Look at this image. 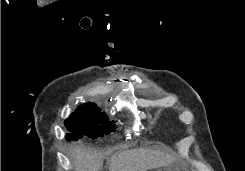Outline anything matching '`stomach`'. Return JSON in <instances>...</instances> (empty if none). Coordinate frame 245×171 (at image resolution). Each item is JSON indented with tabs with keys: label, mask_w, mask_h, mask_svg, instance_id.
<instances>
[{
	"label": "stomach",
	"mask_w": 245,
	"mask_h": 171,
	"mask_svg": "<svg viewBox=\"0 0 245 171\" xmlns=\"http://www.w3.org/2000/svg\"><path fill=\"white\" fill-rule=\"evenodd\" d=\"M155 171H172V170H170L168 168H162V169H157ZM182 171H189V170L188 169H183Z\"/></svg>",
	"instance_id": "stomach-1"
}]
</instances>
